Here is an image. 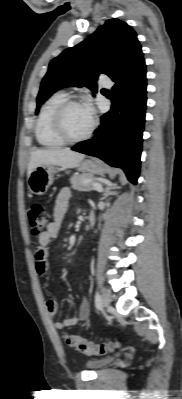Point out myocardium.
<instances>
[{
  "mask_svg": "<svg viewBox=\"0 0 182 399\" xmlns=\"http://www.w3.org/2000/svg\"><path fill=\"white\" fill-rule=\"evenodd\" d=\"M74 105H85L81 100L76 98H67L64 100L55 110L53 114V129L56 135L64 142V143H80L90 138L92 133L96 127V120L93 116H91V124L89 129L82 136L72 137L70 136L64 125V115L68 108Z\"/></svg>",
  "mask_w": 182,
  "mask_h": 399,
  "instance_id": "f54148a6",
  "label": "myocardium"
}]
</instances>
